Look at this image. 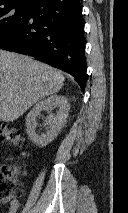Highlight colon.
<instances>
[{"instance_id":"obj_1","label":"colon","mask_w":128,"mask_h":213,"mask_svg":"<svg viewBox=\"0 0 128 213\" xmlns=\"http://www.w3.org/2000/svg\"><path fill=\"white\" fill-rule=\"evenodd\" d=\"M0 140L7 141L15 146L24 147L26 141L19 130L0 122ZM25 173L17 166L3 165L0 167V203H7L22 194L19 177Z\"/></svg>"}]
</instances>
